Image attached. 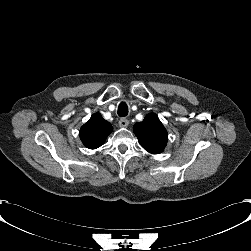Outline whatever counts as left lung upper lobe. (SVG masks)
I'll return each mask as SVG.
<instances>
[{
  "label": "left lung upper lobe",
  "mask_w": 251,
  "mask_h": 251,
  "mask_svg": "<svg viewBox=\"0 0 251 251\" xmlns=\"http://www.w3.org/2000/svg\"><path fill=\"white\" fill-rule=\"evenodd\" d=\"M133 130L139 143L149 153L158 154L164 150L168 134L154 113L146 115L142 122L136 123Z\"/></svg>",
  "instance_id": "left-lung-upper-lobe-1"
}]
</instances>
